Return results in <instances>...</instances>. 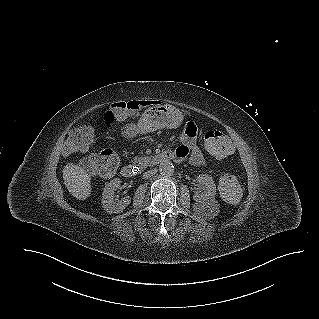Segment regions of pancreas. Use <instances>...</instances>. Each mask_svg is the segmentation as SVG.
I'll use <instances>...</instances> for the list:
<instances>
[{"mask_svg":"<svg viewBox=\"0 0 319 319\" xmlns=\"http://www.w3.org/2000/svg\"><path fill=\"white\" fill-rule=\"evenodd\" d=\"M150 157L144 156L141 158L135 157L134 158V164H138L140 166V168H146V166L148 165L149 161H150Z\"/></svg>","mask_w":319,"mask_h":319,"instance_id":"cf45deb5","label":"pancreas"}]
</instances>
